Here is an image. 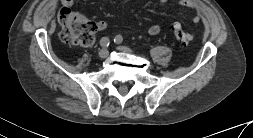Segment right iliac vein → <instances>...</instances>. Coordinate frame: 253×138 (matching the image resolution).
I'll return each mask as SVG.
<instances>
[{
	"label": "right iliac vein",
	"instance_id": "obj_1",
	"mask_svg": "<svg viewBox=\"0 0 253 138\" xmlns=\"http://www.w3.org/2000/svg\"><path fill=\"white\" fill-rule=\"evenodd\" d=\"M108 55H109V50L107 48H104L100 50L99 52V57L102 59H105L106 57H108Z\"/></svg>",
	"mask_w": 253,
	"mask_h": 138
}]
</instances>
